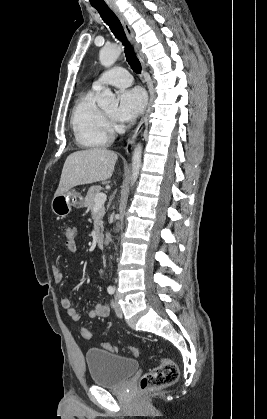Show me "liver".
Segmentation results:
<instances>
[{
	"label": "liver",
	"instance_id": "liver-1",
	"mask_svg": "<svg viewBox=\"0 0 267 419\" xmlns=\"http://www.w3.org/2000/svg\"><path fill=\"white\" fill-rule=\"evenodd\" d=\"M117 159L115 152L102 147L73 152L65 160L55 195L64 194L77 185L109 179Z\"/></svg>",
	"mask_w": 267,
	"mask_h": 419
}]
</instances>
